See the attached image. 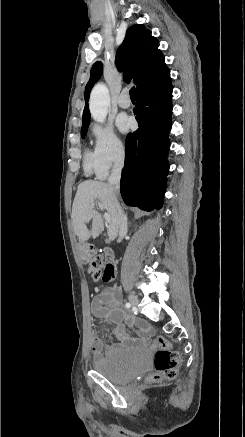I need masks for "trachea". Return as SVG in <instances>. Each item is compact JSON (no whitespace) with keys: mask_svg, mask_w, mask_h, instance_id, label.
<instances>
[{"mask_svg":"<svg viewBox=\"0 0 245 437\" xmlns=\"http://www.w3.org/2000/svg\"><path fill=\"white\" fill-rule=\"evenodd\" d=\"M129 93H130V98H134V96H135V87H132L130 89Z\"/></svg>","mask_w":245,"mask_h":437,"instance_id":"1","label":"trachea"}]
</instances>
